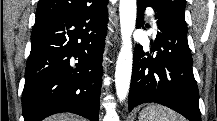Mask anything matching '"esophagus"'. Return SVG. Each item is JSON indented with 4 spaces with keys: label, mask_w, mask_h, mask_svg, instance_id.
<instances>
[{
    "label": "esophagus",
    "mask_w": 217,
    "mask_h": 121,
    "mask_svg": "<svg viewBox=\"0 0 217 121\" xmlns=\"http://www.w3.org/2000/svg\"><path fill=\"white\" fill-rule=\"evenodd\" d=\"M114 39H115V40H117V39H118L117 35H115V36H114Z\"/></svg>",
    "instance_id": "34e87169"
}]
</instances>
